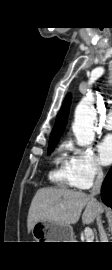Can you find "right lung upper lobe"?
Masks as SVG:
<instances>
[{
	"mask_svg": "<svg viewBox=\"0 0 112 270\" xmlns=\"http://www.w3.org/2000/svg\"><path fill=\"white\" fill-rule=\"evenodd\" d=\"M71 102V94H68L63 102V105L57 114L54 128L51 132L49 143L58 142L59 137L65 129L67 123L69 106Z\"/></svg>",
	"mask_w": 112,
	"mask_h": 270,
	"instance_id": "right-lung-upper-lobe-1",
	"label": "right lung upper lobe"
}]
</instances>
